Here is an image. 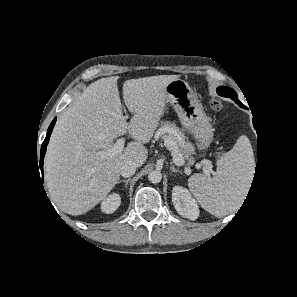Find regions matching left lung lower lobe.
I'll return each instance as SVG.
<instances>
[{"label": "left lung lower lobe", "mask_w": 297, "mask_h": 297, "mask_svg": "<svg viewBox=\"0 0 297 297\" xmlns=\"http://www.w3.org/2000/svg\"><path fill=\"white\" fill-rule=\"evenodd\" d=\"M236 103L239 104L240 107L246 108L245 105H243L241 102L237 101Z\"/></svg>", "instance_id": "1"}]
</instances>
